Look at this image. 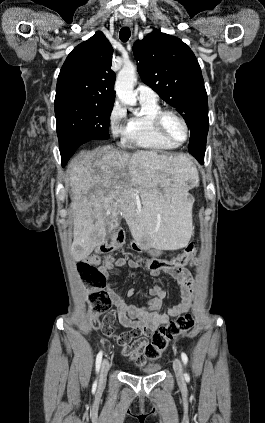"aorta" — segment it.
Instances as JSON below:
<instances>
[{
    "label": "aorta",
    "instance_id": "obj_1",
    "mask_svg": "<svg viewBox=\"0 0 265 423\" xmlns=\"http://www.w3.org/2000/svg\"><path fill=\"white\" fill-rule=\"evenodd\" d=\"M136 82V68L133 64H127L119 71L115 91L119 100L130 106L137 103L136 93L134 92V83Z\"/></svg>",
    "mask_w": 265,
    "mask_h": 423
}]
</instances>
